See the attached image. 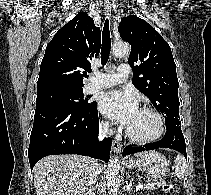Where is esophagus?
<instances>
[{
  "label": "esophagus",
  "instance_id": "34e87169",
  "mask_svg": "<svg viewBox=\"0 0 211 195\" xmlns=\"http://www.w3.org/2000/svg\"><path fill=\"white\" fill-rule=\"evenodd\" d=\"M104 13L107 17L110 16V13H111V5L109 2H106L104 4ZM121 148H122V145L120 142L116 141V140H113L112 142V149L114 151V153L116 154H119L121 152Z\"/></svg>",
  "mask_w": 211,
  "mask_h": 195
}]
</instances>
